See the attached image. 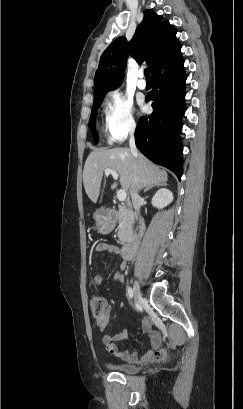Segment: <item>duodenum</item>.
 <instances>
[{
    "mask_svg": "<svg viewBox=\"0 0 243 409\" xmlns=\"http://www.w3.org/2000/svg\"><path fill=\"white\" fill-rule=\"evenodd\" d=\"M109 214L113 215L114 211L112 209H109ZM135 216L140 219L138 214H135ZM140 221L141 223L139 224V227L137 231L135 232L132 241L123 245L121 248V254L124 259H131L137 249L139 237L143 233V230H144L143 220L140 219Z\"/></svg>",
    "mask_w": 243,
    "mask_h": 409,
    "instance_id": "1",
    "label": "duodenum"
}]
</instances>
